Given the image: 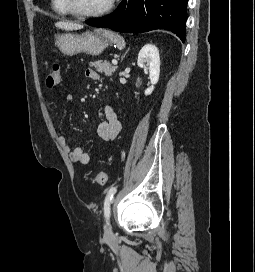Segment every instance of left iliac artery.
<instances>
[{"label":"left iliac artery","instance_id":"obj_1","mask_svg":"<svg viewBox=\"0 0 255 272\" xmlns=\"http://www.w3.org/2000/svg\"><path fill=\"white\" fill-rule=\"evenodd\" d=\"M116 193V187H111L110 190L108 191L105 201H104V216L105 218L110 217V204L112 202L113 196Z\"/></svg>","mask_w":255,"mask_h":272}]
</instances>
